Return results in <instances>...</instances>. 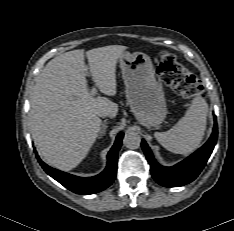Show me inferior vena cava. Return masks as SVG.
Masks as SVG:
<instances>
[{"label": "inferior vena cava", "instance_id": "inferior-vena-cava-1", "mask_svg": "<svg viewBox=\"0 0 234 231\" xmlns=\"http://www.w3.org/2000/svg\"><path fill=\"white\" fill-rule=\"evenodd\" d=\"M98 115L100 116V117H106V116H111L108 112H99L98 113Z\"/></svg>", "mask_w": 234, "mask_h": 231}]
</instances>
